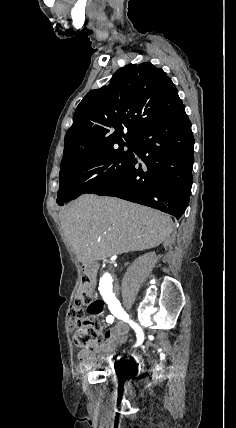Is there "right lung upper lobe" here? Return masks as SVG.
<instances>
[{"mask_svg":"<svg viewBox=\"0 0 236 428\" xmlns=\"http://www.w3.org/2000/svg\"><path fill=\"white\" fill-rule=\"evenodd\" d=\"M181 105L175 85L162 69L150 62L124 66L108 86L88 92L77 106L60 168L117 142L134 141L144 128Z\"/></svg>","mask_w":236,"mask_h":428,"instance_id":"1","label":"right lung upper lobe"}]
</instances>
